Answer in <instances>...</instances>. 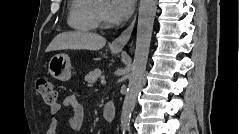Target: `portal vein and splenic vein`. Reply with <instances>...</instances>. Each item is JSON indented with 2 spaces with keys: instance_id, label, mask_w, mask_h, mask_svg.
Wrapping results in <instances>:
<instances>
[{
  "instance_id": "obj_1",
  "label": "portal vein and splenic vein",
  "mask_w": 239,
  "mask_h": 134,
  "mask_svg": "<svg viewBox=\"0 0 239 134\" xmlns=\"http://www.w3.org/2000/svg\"><path fill=\"white\" fill-rule=\"evenodd\" d=\"M101 83H102V84H105L106 82H105V80H104V79H102V80H101Z\"/></svg>"
}]
</instances>
